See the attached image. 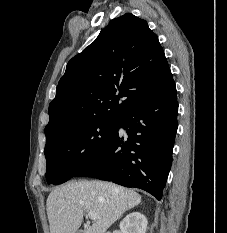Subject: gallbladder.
Returning a JSON list of instances; mask_svg holds the SVG:
<instances>
[{
	"label": "gallbladder",
	"mask_w": 227,
	"mask_h": 233,
	"mask_svg": "<svg viewBox=\"0 0 227 233\" xmlns=\"http://www.w3.org/2000/svg\"><path fill=\"white\" fill-rule=\"evenodd\" d=\"M76 233H83V231L82 230H78V231H76Z\"/></svg>",
	"instance_id": "1"
}]
</instances>
